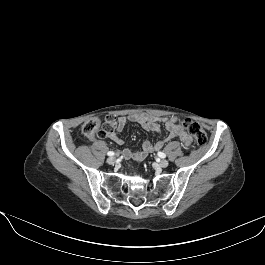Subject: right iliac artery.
<instances>
[{
    "label": "right iliac artery",
    "mask_w": 265,
    "mask_h": 265,
    "mask_svg": "<svg viewBox=\"0 0 265 265\" xmlns=\"http://www.w3.org/2000/svg\"><path fill=\"white\" fill-rule=\"evenodd\" d=\"M107 155H108V156H113V155H114V152L109 151V152L107 153Z\"/></svg>",
    "instance_id": "obj_1"
}]
</instances>
